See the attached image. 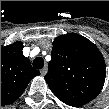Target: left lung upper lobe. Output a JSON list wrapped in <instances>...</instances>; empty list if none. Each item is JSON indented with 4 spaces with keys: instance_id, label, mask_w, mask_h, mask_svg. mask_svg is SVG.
Here are the masks:
<instances>
[{
    "instance_id": "1",
    "label": "left lung upper lobe",
    "mask_w": 109,
    "mask_h": 109,
    "mask_svg": "<svg viewBox=\"0 0 109 109\" xmlns=\"http://www.w3.org/2000/svg\"><path fill=\"white\" fill-rule=\"evenodd\" d=\"M105 75L104 58L89 39L69 33L54 40L44 78L60 100L75 106L88 103L100 93Z\"/></svg>"
}]
</instances>
